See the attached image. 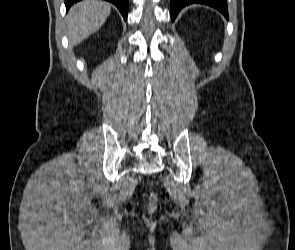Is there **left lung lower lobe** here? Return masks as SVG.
I'll list each match as a JSON object with an SVG mask.
<instances>
[{"label": "left lung lower lobe", "instance_id": "left-lung-lower-lobe-1", "mask_svg": "<svg viewBox=\"0 0 295 250\" xmlns=\"http://www.w3.org/2000/svg\"><path fill=\"white\" fill-rule=\"evenodd\" d=\"M192 3H201L209 5L219 10L228 19V7L226 0H171V19L175 20L179 11Z\"/></svg>", "mask_w": 295, "mask_h": 250}]
</instances>
